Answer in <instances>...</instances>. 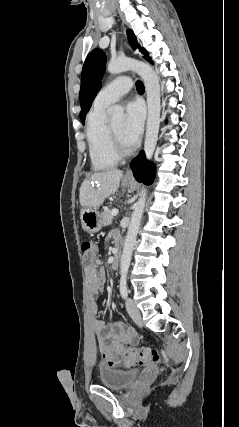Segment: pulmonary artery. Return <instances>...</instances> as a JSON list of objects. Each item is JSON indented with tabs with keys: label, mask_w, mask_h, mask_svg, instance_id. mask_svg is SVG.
Segmentation results:
<instances>
[{
	"label": "pulmonary artery",
	"mask_w": 239,
	"mask_h": 427,
	"mask_svg": "<svg viewBox=\"0 0 239 427\" xmlns=\"http://www.w3.org/2000/svg\"><path fill=\"white\" fill-rule=\"evenodd\" d=\"M132 88L129 77L121 76L103 87L95 98V104L109 106L127 94Z\"/></svg>",
	"instance_id": "pulmonary-artery-1"
}]
</instances>
